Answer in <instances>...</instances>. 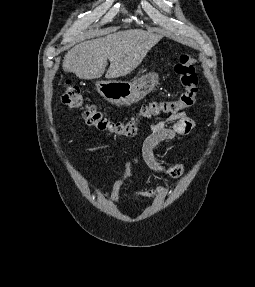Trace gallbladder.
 Returning <instances> with one entry per match:
<instances>
[{
  "label": "gallbladder",
  "mask_w": 255,
  "mask_h": 287,
  "mask_svg": "<svg viewBox=\"0 0 255 287\" xmlns=\"http://www.w3.org/2000/svg\"><path fill=\"white\" fill-rule=\"evenodd\" d=\"M65 72H68L67 68H64Z\"/></svg>",
  "instance_id": "bac80fb5"
}]
</instances>
